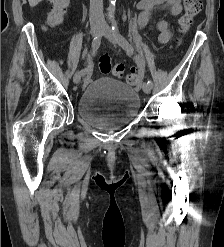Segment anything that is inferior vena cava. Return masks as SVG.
I'll return each mask as SVG.
<instances>
[{
    "label": "inferior vena cava",
    "mask_w": 224,
    "mask_h": 247,
    "mask_svg": "<svg viewBox=\"0 0 224 247\" xmlns=\"http://www.w3.org/2000/svg\"><path fill=\"white\" fill-rule=\"evenodd\" d=\"M90 22H96L100 26H105V20L103 16V0H90Z\"/></svg>",
    "instance_id": "602c4592"
}]
</instances>
